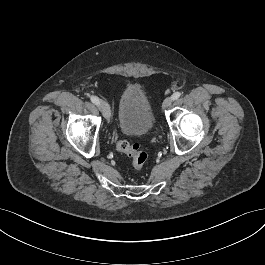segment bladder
Instances as JSON below:
<instances>
[{
	"label": "bladder",
	"instance_id": "obj_1",
	"mask_svg": "<svg viewBox=\"0 0 265 265\" xmlns=\"http://www.w3.org/2000/svg\"><path fill=\"white\" fill-rule=\"evenodd\" d=\"M117 120L125 135L144 136L152 130L155 116L142 88L136 85L124 88L119 98Z\"/></svg>",
	"mask_w": 265,
	"mask_h": 265
}]
</instances>
